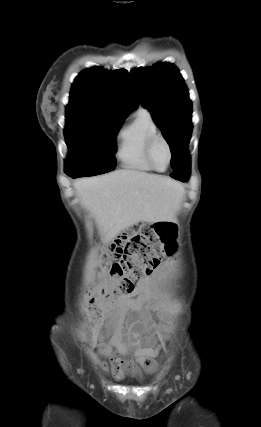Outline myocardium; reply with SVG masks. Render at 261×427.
<instances>
[{
	"label": "myocardium",
	"instance_id": "myocardium-1",
	"mask_svg": "<svg viewBox=\"0 0 261 427\" xmlns=\"http://www.w3.org/2000/svg\"><path fill=\"white\" fill-rule=\"evenodd\" d=\"M158 141H162L165 144V146H166V148L168 150V154H169V160H168L167 166L164 169L157 168L156 165H155V163H154V159H153L154 147H155V145H156V143ZM145 155H146V159H147L148 163L150 164V166L152 167V169L154 171H157V172H165V171H167L168 168L170 167L171 163H172V160H173L172 147H171L168 139L163 134H161L159 132L153 134L148 139L147 144H146Z\"/></svg>",
	"mask_w": 261,
	"mask_h": 427
}]
</instances>
